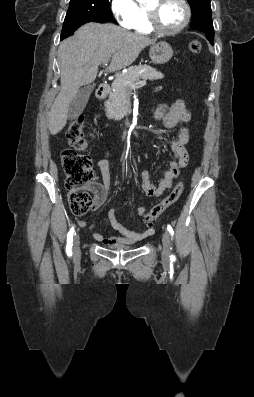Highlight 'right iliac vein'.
I'll list each match as a JSON object with an SVG mask.
<instances>
[{
  "label": "right iliac vein",
  "instance_id": "1",
  "mask_svg": "<svg viewBox=\"0 0 254 397\" xmlns=\"http://www.w3.org/2000/svg\"><path fill=\"white\" fill-rule=\"evenodd\" d=\"M73 253H74L75 259H78L80 257L81 250H80V236H79V234L75 235V237H74Z\"/></svg>",
  "mask_w": 254,
  "mask_h": 397
}]
</instances>
